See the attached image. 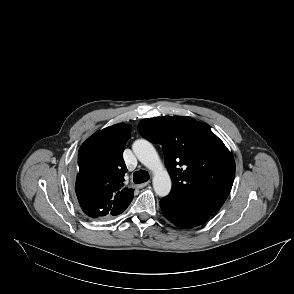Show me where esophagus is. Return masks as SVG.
Wrapping results in <instances>:
<instances>
[{"label": "esophagus", "instance_id": "34e87169", "mask_svg": "<svg viewBox=\"0 0 294 294\" xmlns=\"http://www.w3.org/2000/svg\"><path fill=\"white\" fill-rule=\"evenodd\" d=\"M149 183L150 182L148 181V182H145V183H142V184H138L136 187L139 188V189H141V188L147 186Z\"/></svg>", "mask_w": 294, "mask_h": 294}]
</instances>
